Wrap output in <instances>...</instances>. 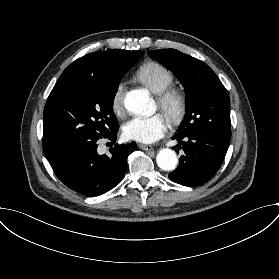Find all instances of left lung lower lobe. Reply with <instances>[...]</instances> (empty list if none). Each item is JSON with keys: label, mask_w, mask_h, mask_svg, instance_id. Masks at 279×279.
Masks as SVG:
<instances>
[{"label": "left lung lower lobe", "mask_w": 279, "mask_h": 279, "mask_svg": "<svg viewBox=\"0 0 279 279\" xmlns=\"http://www.w3.org/2000/svg\"><path fill=\"white\" fill-rule=\"evenodd\" d=\"M173 139L178 141L177 147L182 146L185 154L181 156L176 170L169 174L170 180L184 186H198L210 180L219 170L231 135L205 130L185 136L175 135Z\"/></svg>", "instance_id": "1"}]
</instances>
